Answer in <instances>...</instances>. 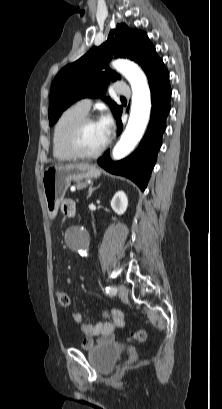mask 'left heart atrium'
<instances>
[{
	"label": "left heart atrium",
	"instance_id": "39dd6f15",
	"mask_svg": "<svg viewBox=\"0 0 222 409\" xmlns=\"http://www.w3.org/2000/svg\"><path fill=\"white\" fill-rule=\"evenodd\" d=\"M98 123H99V125L101 127V130H102V133L104 135L105 140H108V138L111 135L112 127H113L112 118L108 114L103 115L100 118V120L98 121Z\"/></svg>",
	"mask_w": 222,
	"mask_h": 409
}]
</instances>
